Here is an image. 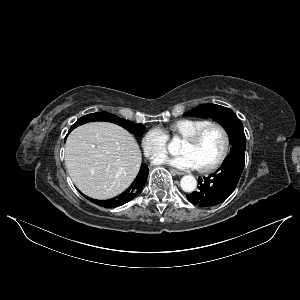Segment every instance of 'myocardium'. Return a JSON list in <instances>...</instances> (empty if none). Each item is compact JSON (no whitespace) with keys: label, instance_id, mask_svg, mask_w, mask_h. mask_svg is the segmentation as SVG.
<instances>
[{"label":"myocardium","instance_id":"f54148a6","mask_svg":"<svg viewBox=\"0 0 300 300\" xmlns=\"http://www.w3.org/2000/svg\"><path fill=\"white\" fill-rule=\"evenodd\" d=\"M212 127H217L222 131L223 136H224V146H223V150H222L220 156L213 163H211L207 166H204V167L197 168L198 171L201 173H208V172L216 170L226 160V158L229 154V151H230V144H231L229 131L225 127V125H223L220 122L214 121V122L207 123L200 129H198L196 132H194L192 135L184 138L185 142H188L190 144H196L202 138V136L205 134V132Z\"/></svg>","mask_w":300,"mask_h":300}]
</instances>
